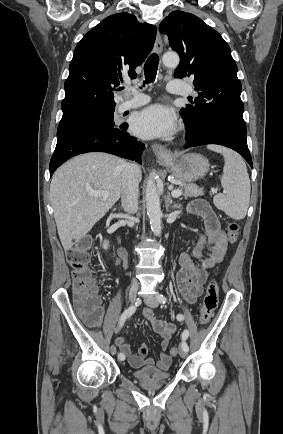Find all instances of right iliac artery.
<instances>
[{"label":"right iliac artery","instance_id":"right-iliac-artery-1","mask_svg":"<svg viewBox=\"0 0 283 434\" xmlns=\"http://www.w3.org/2000/svg\"><path fill=\"white\" fill-rule=\"evenodd\" d=\"M136 307H137V303H135L134 305H131L128 309H126L123 312V314L121 315L120 320H119V327H122L124 322L126 321V319L129 318L136 311ZM118 359L120 361H123V360H125V357L123 354L119 353Z\"/></svg>","mask_w":283,"mask_h":434}]
</instances>
